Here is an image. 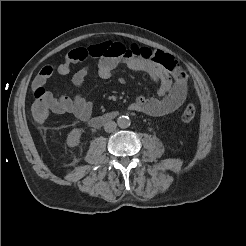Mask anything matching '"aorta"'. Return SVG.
<instances>
[{
	"label": "aorta",
	"instance_id": "obj_1",
	"mask_svg": "<svg viewBox=\"0 0 246 246\" xmlns=\"http://www.w3.org/2000/svg\"><path fill=\"white\" fill-rule=\"evenodd\" d=\"M117 124L120 128H127L130 126L131 121L128 116H120L117 119Z\"/></svg>",
	"mask_w": 246,
	"mask_h": 246
}]
</instances>
